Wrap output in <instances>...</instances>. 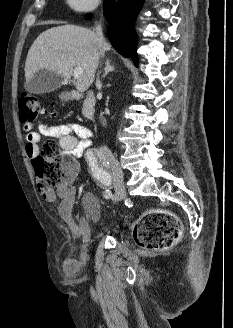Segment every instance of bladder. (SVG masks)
<instances>
[{"label":"bladder","instance_id":"bladder-1","mask_svg":"<svg viewBox=\"0 0 233 328\" xmlns=\"http://www.w3.org/2000/svg\"><path fill=\"white\" fill-rule=\"evenodd\" d=\"M82 204L86 219L89 222L96 223L99 226L105 225L107 214L94 194H84Z\"/></svg>","mask_w":233,"mask_h":328}]
</instances>
